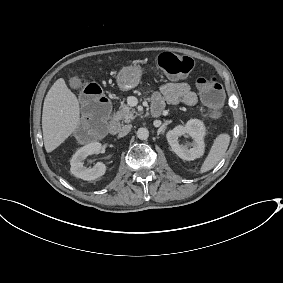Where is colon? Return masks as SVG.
I'll return each instance as SVG.
<instances>
[{"mask_svg":"<svg viewBox=\"0 0 283 283\" xmlns=\"http://www.w3.org/2000/svg\"><path fill=\"white\" fill-rule=\"evenodd\" d=\"M155 66L161 72L171 77H183L191 72L194 62L190 57L162 53L155 61ZM200 97L212 117H218L225 99L222 85L215 77H200L196 81ZM80 101L83 108V118L77 128V134L83 140H88L100 133L110 112V105L101 88L95 83L81 82Z\"/></svg>","mask_w":283,"mask_h":283,"instance_id":"5ec220e1","label":"colon"}]
</instances>
